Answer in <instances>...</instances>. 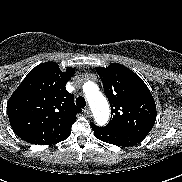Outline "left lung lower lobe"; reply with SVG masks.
<instances>
[{
	"label": "left lung lower lobe",
	"instance_id": "0a47b994",
	"mask_svg": "<svg viewBox=\"0 0 182 182\" xmlns=\"http://www.w3.org/2000/svg\"><path fill=\"white\" fill-rule=\"evenodd\" d=\"M91 127L97 139L116 146H133L144 139L130 133L98 127L93 123Z\"/></svg>",
	"mask_w": 182,
	"mask_h": 182
}]
</instances>
